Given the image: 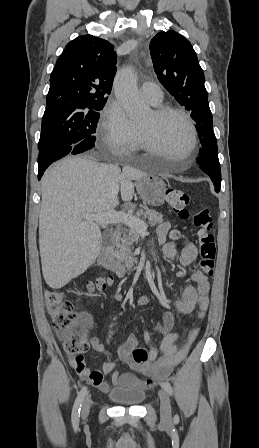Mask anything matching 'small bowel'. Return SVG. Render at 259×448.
<instances>
[{"instance_id":"obj_1","label":"small bowel","mask_w":259,"mask_h":448,"mask_svg":"<svg viewBox=\"0 0 259 448\" xmlns=\"http://www.w3.org/2000/svg\"><path fill=\"white\" fill-rule=\"evenodd\" d=\"M171 234V225L169 223L165 222L157 227V238L162 246L164 257L168 259L175 258L177 250L180 247L181 252L179 261L181 265H191L198 255L196 246L190 241H168ZM191 278L194 283H189L184 287L181 297L174 301V306L176 310L182 314H189L197 307V316L199 319H203L209 307L208 294L210 284L206 274L199 269L192 272ZM116 297L119 300L121 299L120 295H117ZM149 302L150 297L147 295H143L139 299V304L141 305H146ZM174 322V314L171 311L164 312L162 323L155 327L156 332L163 335L160 344L161 356L158 355V350L155 347L149 346L148 360L145 363H135L131 358V351L137 345V339L134 335H129L126 341L121 345L119 350L120 360L134 371L143 374L145 379H140L130 372L114 371L116 362L111 359L110 352L96 337L90 339L93 349L111 360L104 363L99 370L90 369L86 365L84 357L81 355L69 357V362L80 378L87 380L91 385L103 392H108L112 386H137L150 389L155 385L157 380L169 376L172 369L187 356L191 346L198 336L199 329L195 327L189 331L182 341H180L179 333L173 330ZM144 337L148 342V333H145ZM109 374H111V380L106 379V376Z\"/></svg>"}]
</instances>
